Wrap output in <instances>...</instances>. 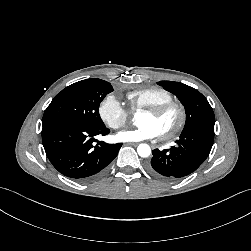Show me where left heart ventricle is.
I'll list each match as a JSON object with an SVG mask.
<instances>
[{
  "mask_svg": "<svg viewBox=\"0 0 251 251\" xmlns=\"http://www.w3.org/2000/svg\"><path fill=\"white\" fill-rule=\"evenodd\" d=\"M178 120V113L171 110L162 116L155 117L149 113L144 112L139 118V124L153 125L159 133L170 130L175 126Z\"/></svg>",
  "mask_w": 251,
  "mask_h": 251,
  "instance_id": "left-heart-ventricle-1",
  "label": "left heart ventricle"
}]
</instances>
